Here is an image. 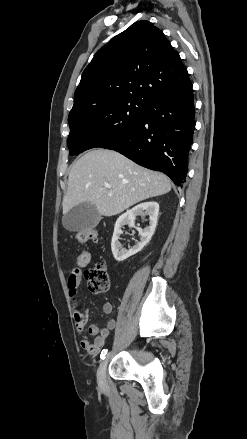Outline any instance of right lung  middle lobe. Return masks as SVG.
Here are the masks:
<instances>
[{
	"label": "right lung middle lobe",
	"instance_id": "dd1d6c3e",
	"mask_svg": "<svg viewBox=\"0 0 247 439\" xmlns=\"http://www.w3.org/2000/svg\"><path fill=\"white\" fill-rule=\"evenodd\" d=\"M147 104L122 100L99 105L68 118L70 155L95 148H106L122 138L140 122Z\"/></svg>",
	"mask_w": 247,
	"mask_h": 439
}]
</instances>
